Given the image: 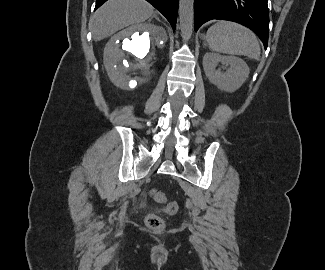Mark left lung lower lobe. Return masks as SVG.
I'll use <instances>...</instances> for the list:
<instances>
[{"instance_id":"0a47b994","label":"left lung lower lobe","mask_w":325,"mask_h":270,"mask_svg":"<svg viewBox=\"0 0 325 270\" xmlns=\"http://www.w3.org/2000/svg\"><path fill=\"white\" fill-rule=\"evenodd\" d=\"M195 31L212 19L240 23L261 39L265 49L268 44L269 14L267 0H195Z\"/></svg>"}]
</instances>
